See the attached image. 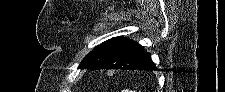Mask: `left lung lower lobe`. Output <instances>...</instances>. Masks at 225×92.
<instances>
[{
	"label": "left lung lower lobe",
	"instance_id": "obj_1",
	"mask_svg": "<svg viewBox=\"0 0 225 92\" xmlns=\"http://www.w3.org/2000/svg\"><path fill=\"white\" fill-rule=\"evenodd\" d=\"M99 69L157 70L149 53L133 41L117 50L94 70Z\"/></svg>",
	"mask_w": 225,
	"mask_h": 92
}]
</instances>
